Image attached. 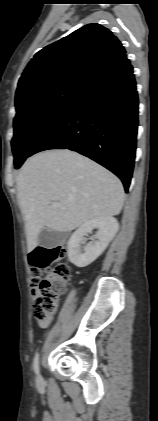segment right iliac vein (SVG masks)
<instances>
[{"mask_svg": "<svg viewBox=\"0 0 158 421\" xmlns=\"http://www.w3.org/2000/svg\"><path fill=\"white\" fill-rule=\"evenodd\" d=\"M42 381V377H41V375H38L37 376V382H41Z\"/></svg>", "mask_w": 158, "mask_h": 421, "instance_id": "1", "label": "right iliac vein"}]
</instances>
